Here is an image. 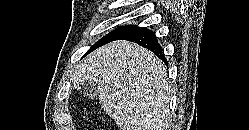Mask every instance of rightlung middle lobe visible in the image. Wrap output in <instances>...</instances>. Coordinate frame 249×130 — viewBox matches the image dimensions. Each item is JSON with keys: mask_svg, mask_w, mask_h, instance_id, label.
<instances>
[{"mask_svg": "<svg viewBox=\"0 0 249 130\" xmlns=\"http://www.w3.org/2000/svg\"><path fill=\"white\" fill-rule=\"evenodd\" d=\"M139 28L138 26H134V25H126V26H121L119 28H117L116 30L110 32L108 35H106L105 37H103L102 39H100L98 42H96L88 52H91L92 50L96 49L97 47L106 44L110 41H113L114 39L127 34L135 29Z\"/></svg>", "mask_w": 249, "mask_h": 130, "instance_id": "dd1d6c3e", "label": "right lung middle lobe"}]
</instances>
